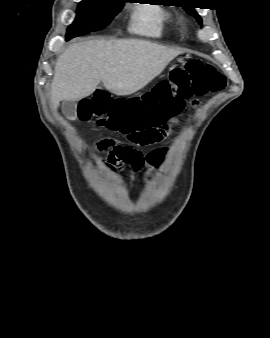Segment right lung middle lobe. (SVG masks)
<instances>
[{"label": "right lung middle lobe", "instance_id": "1", "mask_svg": "<svg viewBox=\"0 0 270 338\" xmlns=\"http://www.w3.org/2000/svg\"><path fill=\"white\" fill-rule=\"evenodd\" d=\"M125 0H83L77 8V16L67 29L66 39L85 35L106 27L119 13Z\"/></svg>", "mask_w": 270, "mask_h": 338}]
</instances>
